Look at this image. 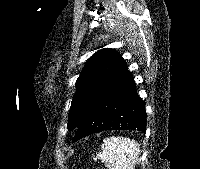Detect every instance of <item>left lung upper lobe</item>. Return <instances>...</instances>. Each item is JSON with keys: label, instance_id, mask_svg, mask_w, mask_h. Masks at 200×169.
Here are the masks:
<instances>
[{"label": "left lung upper lobe", "instance_id": "5c2ea615", "mask_svg": "<svg viewBox=\"0 0 200 169\" xmlns=\"http://www.w3.org/2000/svg\"><path fill=\"white\" fill-rule=\"evenodd\" d=\"M132 78L121 55L106 48L91 56L78 77L67 128L79 126L93 105Z\"/></svg>", "mask_w": 200, "mask_h": 169}]
</instances>
